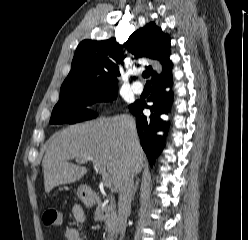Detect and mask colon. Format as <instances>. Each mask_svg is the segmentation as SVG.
<instances>
[{
    "mask_svg": "<svg viewBox=\"0 0 248 240\" xmlns=\"http://www.w3.org/2000/svg\"><path fill=\"white\" fill-rule=\"evenodd\" d=\"M63 215L55 208H49L43 213V223L48 227H59L62 225Z\"/></svg>",
    "mask_w": 248,
    "mask_h": 240,
    "instance_id": "colon-1",
    "label": "colon"
}]
</instances>
